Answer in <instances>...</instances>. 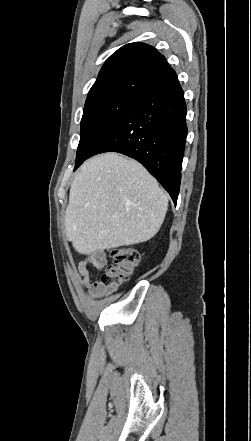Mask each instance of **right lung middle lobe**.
Here are the masks:
<instances>
[{"label": "right lung middle lobe", "mask_w": 251, "mask_h": 441, "mask_svg": "<svg viewBox=\"0 0 251 441\" xmlns=\"http://www.w3.org/2000/svg\"><path fill=\"white\" fill-rule=\"evenodd\" d=\"M138 100V97H116L85 105L75 169L89 157L96 144Z\"/></svg>", "instance_id": "1"}]
</instances>
